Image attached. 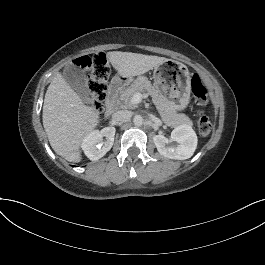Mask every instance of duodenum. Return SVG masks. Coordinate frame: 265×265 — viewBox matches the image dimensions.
Wrapping results in <instances>:
<instances>
[{
  "instance_id": "410a0bca",
  "label": "duodenum",
  "mask_w": 265,
  "mask_h": 265,
  "mask_svg": "<svg viewBox=\"0 0 265 265\" xmlns=\"http://www.w3.org/2000/svg\"><path fill=\"white\" fill-rule=\"evenodd\" d=\"M125 83L126 79L120 77L114 79L109 85L105 103V113L107 116H110L116 110L117 98Z\"/></svg>"
}]
</instances>
